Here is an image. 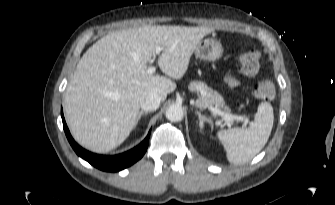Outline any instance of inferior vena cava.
<instances>
[{
    "label": "inferior vena cava",
    "instance_id": "1",
    "mask_svg": "<svg viewBox=\"0 0 335 205\" xmlns=\"http://www.w3.org/2000/svg\"><path fill=\"white\" fill-rule=\"evenodd\" d=\"M161 102V96L156 90L145 91L140 98V106L145 111L156 110Z\"/></svg>",
    "mask_w": 335,
    "mask_h": 205
}]
</instances>
